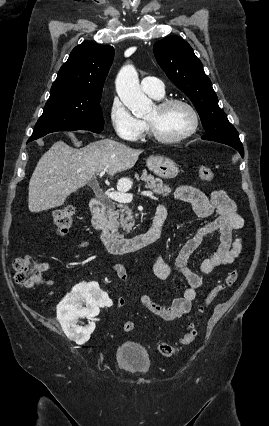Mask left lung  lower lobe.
<instances>
[{"mask_svg":"<svg viewBox=\"0 0 269 426\" xmlns=\"http://www.w3.org/2000/svg\"><path fill=\"white\" fill-rule=\"evenodd\" d=\"M202 139L208 140V139L204 138V136L202 137ZM216 142L223 143V144H226V145L233 147L234 149H236L241 154L242 157H244V149H243V145H242L241 141L221 140V141H216Z\"/></svg>","mask_w":269,"mask_h":426,"instance_id":"left-lung-lower-lobe-1","label":"left lung lower lobe"}]
</instances>
